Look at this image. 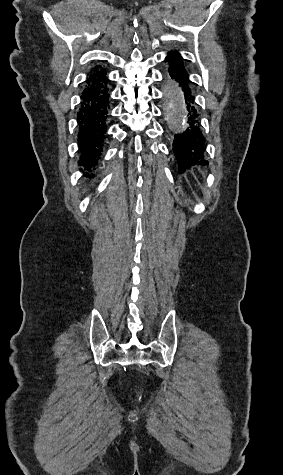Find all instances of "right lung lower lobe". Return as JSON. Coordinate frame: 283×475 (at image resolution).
I'll return each mask as SVG.
<instances>
[{
	"label": "right lung lower lobe",
	"mask_w": 283,
	"mask_h": 475,
	"mask_svg": "<svg viewBox=\"0 0 283 475\" xmlns=\"http://www.w3.org/2000/svg\"><path fill=\"white\" fill-rule=\"evenodd\" d=\"M108 83L104 69L92 70L84 82V90L78 105L77 140L80 153L78 164L88 171L96 169L103 150L110 117Z\"/></svg>",
	"instance_id": "98d812e1"
}]
</instances>
